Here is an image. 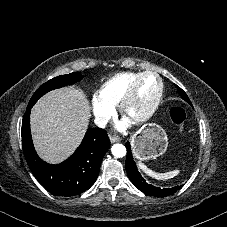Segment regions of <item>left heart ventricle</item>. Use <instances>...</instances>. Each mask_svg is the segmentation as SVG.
Returning <instances> with one entry per match:
<instances>
[{
	"mask_svg": "<svg viewBox=\"0 0 227 227\" xmlns=\"http://www.w3.org/2000/svg\"><path fill=\"white\" fill-rule=\"evenodd\" d=\"M156 91V80L151 76L144 78L139 85L137 97L129 108V113L137 114L141 112L153 99Z\"/></svg>",
	"mask_w": 227,
	"mask_h": 227,
	"instance_id": "1",
	"label": "left heart ventricle"
}]
</instances>
